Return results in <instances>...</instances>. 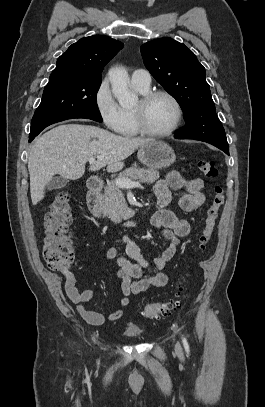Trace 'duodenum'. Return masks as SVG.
Returning <instances> with one entry per match:
<instances>
[{"instance_id": "duodenum-1", "label": "duodenum", "mask_w": 265, "mask_h": 407, "mask_svg": "<svg viewBox=\"0 0 265 407\" xmlns=\"http://www.w3.org/2000/svg\"><path fill=\"white\" fill-rule=\"evenodd\" d=\"M88 193H87V206L92 215L99 217L101 215L100 206V192L102 190L103 184L97 178H90L87 182ZM128 224L135 225L136 218L132 215L128 218Z\"/></svg>"}]
</instances>
